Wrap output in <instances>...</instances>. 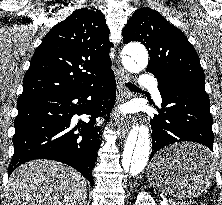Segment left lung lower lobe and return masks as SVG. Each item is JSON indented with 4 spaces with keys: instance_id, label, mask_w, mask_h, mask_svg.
Wrapping results in <instances>:
<instances>
[{
    "instance_id": "0a47b994",
    "label": "left lung lower lobe",
    "mask_w": 222,
    "mask_h": 205,
    "mask_svg": "<svg viewBox=\"0 0 222 205\" xmlns=\"http://www.w3.org/2000/svg\"><path fill=\"white\" fill-rule=\"evenodd\" d=\"M162 97V109L151 120V158L160 149L182 141H192L206 146L205 151L188 153L183 162L200 165L211 164L213 151V119L206 91L186 81L166 75H154Z\"/></svg>"
}]
</instances>
